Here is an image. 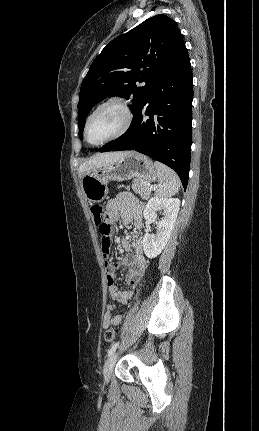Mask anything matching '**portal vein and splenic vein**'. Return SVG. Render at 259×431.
I'll list each match as a JSON object with an SVG mask.
<instances>
[{
	"instance_id": "1",
	"label": "portal vein and splenic vein",
	"mask_w": 259,
	"mask_h": 431,
	"mask_svg": "<svg viewBox=\"0 0 259 431\" xmlns=\"http://www.w3.org/2000/svg\"><path fill=\"white\" fill-rule=\"evenodd\" d=\"M147 186L149 187L150 190H152L153 187L149 183H147Z\"/></svg>"
}]
</instances>
